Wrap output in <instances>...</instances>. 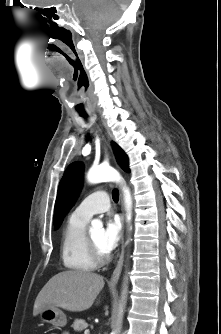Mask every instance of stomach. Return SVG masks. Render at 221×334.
Returning a JSON list of instances; mask_svg holds the SVG:
<instances>
[{
  "mask_svg": "<svg viewBox=\"0 0 221 334\" xmlns=\"http://www.w3.org/2000/svg\"><path fill=\"white\" fill-rule=\"evenodd\" d=\"M43 322L50 323L55 327H64L67 324L65 313L59 308H47L40 312Z\"/></svg>",
  "mask_w": 221,
  "mask_h": 334,
  "instance_id": "obj_1",
  "label": "stomach"
}]
</instances>
